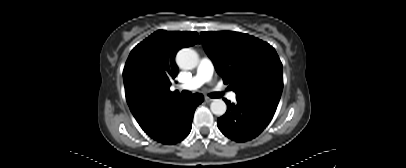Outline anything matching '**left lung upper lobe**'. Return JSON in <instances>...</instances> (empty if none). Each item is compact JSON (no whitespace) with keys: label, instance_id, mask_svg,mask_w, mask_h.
Instances as JSON below:
<instances>
[{"label":"left lung upper lobe","instance_id":"5c2ea615","mask_svg":"<svg viewBox=\"0 0 406 168\" xmlns=\"http://www.w3.org/2000/svg\"><path fill=\"white\" fill-rule=\"evenodd\" d=\"M201 36L217 73L237 98L277 107L283 89L282 63L272 46L232 31L201 32Z\"/></svg>","mask_w":406,"mask_h":168}]
</instances>
